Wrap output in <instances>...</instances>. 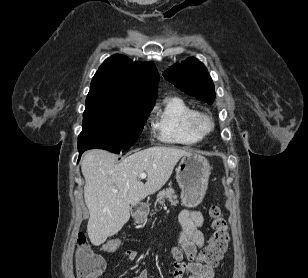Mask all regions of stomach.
Returning a JSON list of instances; mask_svg holds the SVG:
<instances>
[{
  "mask_svg": "<svg viewBox=\"0 0 308 278\" xmlns=\"http://www.w3.org/2000/svg\"><path fill=\"white\" fill-rule=\"evenodd\" d=\"M210 176L208 160L199 154H189L182 157L176 168V180L181 188V201L185 207H196L202 201ZM145 214L138 220L143 221Z\"/></svg>",
  "mask_w": 308,
  "mask_h": 278,
  "instance_id": "stomach-1",
  "label": "stomach"
}]
</instances>
